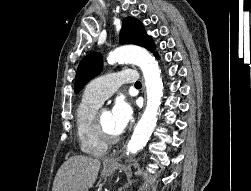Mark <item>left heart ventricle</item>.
Instances as JSON below:
<instances>
[{
  "label": "left heart ventricle",
  "mask_w": 251,
  "mask_h": 191,
  "mask_svg": "<svg viewBox=\"0 0 251 191\" xmlns=\"http://www.w3.org/2000/svg\"><path fill=\"white\" fill-rule=\"evenodd\" d=\"M99 119L102 122L104 128L111 134H114L110 126V114L106 110H102L99 113Z\"/></svg>",
  "instance_id": "left-heart-ventricle-1"
}]
</instances>
